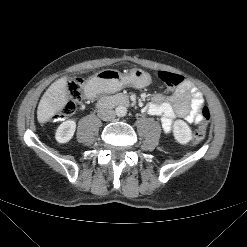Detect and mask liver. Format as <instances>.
<instances>
[{
  "mask_svg": "<svg viewBox=\"0 0 247 247\" xmlns=\"http://www.w3.org/2000/svg\"><path fill=\"white\" fill-rule=\"evenodd\" d=\"M67 94V78L65 76L52 83L39 102L37 108L38 122L45 123L61 111L68 101Z\"/></svg>",
  "mask_w": 247,
  "mask_h": 247,
  "instance_id": "6515ba94",
  "label": "liver"
}]
</instances>
